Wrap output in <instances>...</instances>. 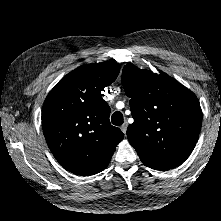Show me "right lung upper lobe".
<instances>
[{"instance_id": "cb5924a9", "label": "right lung upper lobe", "mask_w": 221, "mask_h": 221, "mask_svg": "<svg viewBox=\"0 0 221 221\" xmlns=\"http://www.w3.org/2000/svg\"><path fill=\"white\" fill-rule=\"evenodd\" d=\"M120 71L116 62L82 65L64 76L48 94L42 127L48 147L66 170L89 176L104 170L124 134L109 121L104 88Z\"/></svg>"}]
</instances>
